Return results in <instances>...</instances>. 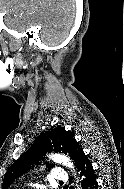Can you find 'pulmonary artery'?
Instances as JSON below:
<instances>
[{
  "label": "pulmonary artery",
  "instance_id": "obj_1",
  "mask_svg": "<svg viewBox=\"0 0 124 189\" xmlns=\"http://www.w3.org/2000/svg\"><path fill=\"white\" fill-rule=\"evenodd\" d=\"M51 175H52L53 180H56V181H64L67 179L66 172L59 167L53 168Z\"/></svg>",
  "mask_w": 124,
  "mask_h": 189
}]
</instances>
